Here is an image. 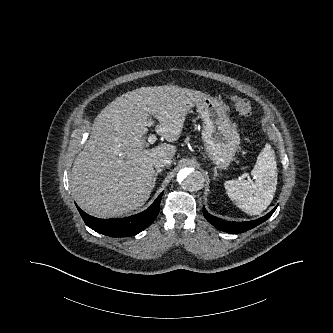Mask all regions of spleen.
Listing matches in <instances>:
<instances>
[{
  "label": "spleen",
  "mask_w": 333,
  "mask_h": 333,
  "mask_svg": "<svg viewBox=\"0 0 333 333\" xmlns=\"http://www.w3.org/2000/svg\"><path fill=\"white\" fill-rule=\"evenodd\" d=\"M251 174L254 182L229 180L224 186L229 198L242 211L258 215L272 202L277 186V164L270 144L267 143L258 155Z\"/></svg>",
  "instance_id": "1"
}]
</instances>
